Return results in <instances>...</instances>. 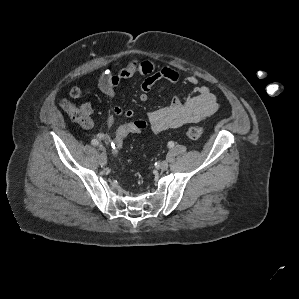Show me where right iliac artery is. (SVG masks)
Listing matches in <instances>:
<instances>
[{
    "mask_svg": "<svg viewBox=\"0 0 299 299\" xmlns=\"http://www.w3.org/2000/svg\"><path fill=\"white\" fill-rule=\"evenodd\" d=\"M91 143H92V145H94V146H97V145L99 144V142H98L97 139H93V140L91 141Z\"/></svg>",
    "mask_w": 299,
    "mask_h": 299,
    "instance_id": "82829eb1",
    "label": "right iliac artery"
}]
</instances>
